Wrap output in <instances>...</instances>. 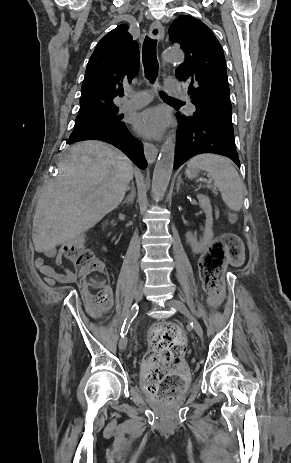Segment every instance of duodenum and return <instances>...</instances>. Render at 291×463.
Instances as JSON below:
<instances>
[{"label":"duodenum","instance_id":"obj_1","mask_svg":"<svg viewBox=\"0 0 291 463\" xmlns=\"http://www.w3.org/2000/svg\"><path fill=\"white\" fill-rule=\"evenodd\" d=\"M109 224H110V220H106V221L104 222V227L107 228V227L109 226Z\"/></svg>","mask_w":291,"mask_h":463}]
</instances>
